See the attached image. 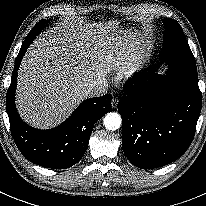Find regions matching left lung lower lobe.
Returning a JSON list of instances; mask_svg holds the SVG:
<instances>
[{
	"label": "left lung lower lobe",
	"mask_w": 206,
	"mask_h": 206,
	"mask_svg": "<svg viewBox=\"0 0 206 206\" xmlns=\"http://www.w3.org/2000/svg\"><path fill=\"white\" fill-rule=\"evenodd\" d=\"M124 93L118 110L129 161L152 169L181 157L194 138L201 111L197 70L169 65L164 76L147 70L132 78Z\"/></svg>",
	"instance_id": "0a47b994"
}]
</instances>
